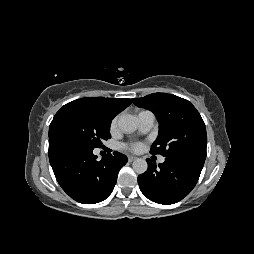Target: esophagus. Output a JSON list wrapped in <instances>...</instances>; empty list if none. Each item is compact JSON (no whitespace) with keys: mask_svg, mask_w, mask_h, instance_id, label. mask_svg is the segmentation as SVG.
<instances>
[{"mask_svg":"<svg viewBox=\"0 0 254 254\" xmlns=\"http://www.w3.org/2000/svg\"><path fill=\"white\" fill-rule=\"evenodd\" d=\"M136 159V157H134V156H128V161L129 162H132V161H134Z\"/></svg>","mask_w":254,"mask_h":254,"instance_id":"esophagus-1","label":"esophagus"}]
</instances>
